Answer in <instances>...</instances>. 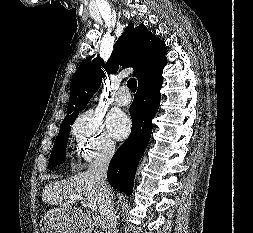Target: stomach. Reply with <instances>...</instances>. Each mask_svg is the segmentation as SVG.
Returning a JSON list of instances; mask_svg holds the SVG:
<instances>
[{
    "instance_id": "stomach-1",
    "label": "stomach",
    "mask_w": 253,
    "mask_h": 233,
    "mask_svg": "<svg viewBox=\"0 0 253 233\" xmlns=\"http://www.w3.org/2000/svg\"><path fill=\"white\" fill-rule=\"evenodd\" d=\"M42 233H82L75 221L73 210L53 209L40 221Z\"/></svg>"
}]
</instances>
